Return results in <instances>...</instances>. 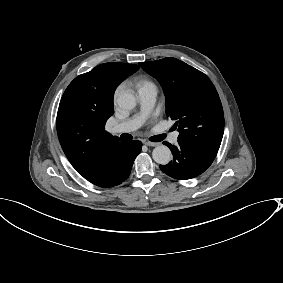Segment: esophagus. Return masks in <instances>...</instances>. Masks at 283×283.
Returning <instances> with one entry per match:
<instances>
[{
  "mask_svg": "<svg viewBox=\"0 0 283 283\" xmlns=\"http://www.w3.org/2000/svg\"><path fill=\"white\" fill-rule=\"evenodd\" d=\"M145 145L151 146V147H156V146H159L160 143H158V142H145Z\"/></svg>",
  "mask_w": 283,
  "mask_h": 283,
  "instance_id": "1",
  "label": "esophagus"
}]
</instances>
